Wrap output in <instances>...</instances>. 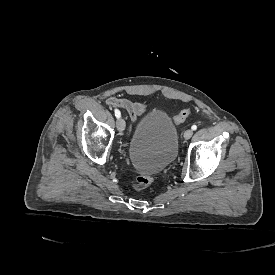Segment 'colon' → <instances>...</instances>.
<instances>
[{"mask_svg":"<svg viewBox=\"0 0 275 275\" xmlns=\"http://www.w3.org/2000/svg\"><path fill=\"white\" fill-rule=\"evenodd\" d=\"M189 115L187 110H183L179 115L173 118L175 124H179L184 121V119ZM152 183V175L147 172H141L135 181L134 188L136 190H143L148 188Z\"/></svg>","mask_w":275,"mask_h":275,"instance_id":"5ec220e1","label":"colon"}]
</instances>
